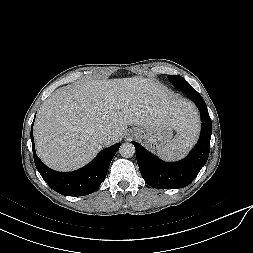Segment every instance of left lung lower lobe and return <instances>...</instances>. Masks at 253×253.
Wrapping results in <instances>:
<instances>
[{
	"label": "left lung lower lobe",
	"instance_id": "1",
	"mask_svg": "<svg viewBox=\"0 0 253 253\" xmlns=\"http://www.w3.org/2000/svg\"><path fill=\"white\" fill-rule=\"evenodd\" d=\"M184 93L197 105L200 114L202 129L197 145L183 160L174 163H166L148 152L136 142L137 163L145 182L153 188L172 189L183 188L189 185L205 165L210 151V138L212 122L202 96L193 88H188Z\"/></svg>",
	"mask_w": 253,
	"mask_h": 253
}]
</instances>
